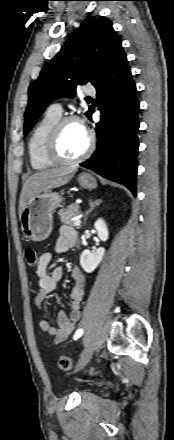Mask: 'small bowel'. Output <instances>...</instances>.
Returning <instances> with one entry per match:
<instances>
[{
    "instance_id": "small-bowel-1",
    "label": "small bowel",
    "mask_w": 174,
    "mask_h": 440,
    "mask_svg": "<svg viewBox=\"0 0 174 440\" xmlns=\"http://www.w3.org/2000/svg\"><path fill=\"white\" fill-rule=\"evenodd\" d=\"M78 235L74 229L62 226L59 229L55 252L63 254L77 244ZM52 255L49 252L43 253L38 262L36 274L38 276V292L35 297V305L39 311L43 310V302L47 295L53 293L58 282L62 279L63 270L61 267L49 269ZM73 286L70 294V312L61 310L57 315L58 326H53L47 318H42L39 326L42 331L51 336L56 343L65 341L73 332L75 325L82 316L81 303L85 293L86 280L79 268L71 272Z\"/></svg>"
}]
</instances>
